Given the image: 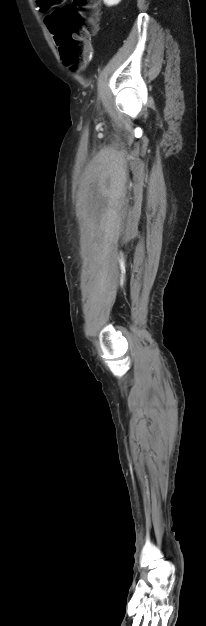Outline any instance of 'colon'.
<instances>
[{
  "label": "colon",
  "instance_id": "colon-1",
  "mask_svg": "<svg viewBox=\"0 0 206 626\" xmlns=\"http://www.w3.org/2000/svg\"><path fill=\"white\" fill-rule=\"evenodd\" d=\"M41 0L42 7H57L48 17L49 30L59 48L61 59L78 70L88 55V37L97 29L99 0Z\"/></svg>",
  "mask_w": 206,
  "mask_h": 626
}]
</instances>
